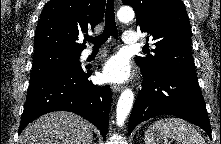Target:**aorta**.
Masks as SVG:
<instances>
[{
  "mask_svg": "<svg viewBox=\"0 0 221 144\" xmlns=\"http://www.w3.org/2000/svg\"><path fill=\"white\" fill-rule=\"evenodd\" d=\"M119 21L127 23L132 21L135 13L131 7H121L117 13ZM134 100V93L131 89H125L118 100L116 109V122L119 127L123 126L128 114L131 111Z\"/></svg>",
  "mask_w": 221,
  "mask_h": 144,
  "instance_id": "aorta-1",
  "label": "aorta"
}]
</instances>
